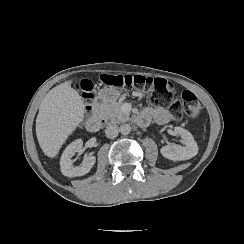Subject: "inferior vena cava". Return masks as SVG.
I'll use <instances>...</instances> for the list:
<instances>
[{
    "mask_svg": "<svg viewBox=\"0 0 244 244\" xmlns=\"http://www.w3.org/2000/svg\"><path fill=\"white\" fill-rule=\"evenodd\" d=\"M119 133V127L115 124L109 125L106 130H105V134L108 138H116L118 136Z\"/></svg>",
    "mask_w": 244,
    "mask_h": 244,
    "instance_id": "602c4592",
    "label": "inferior vena cava"
}]
</instances>
